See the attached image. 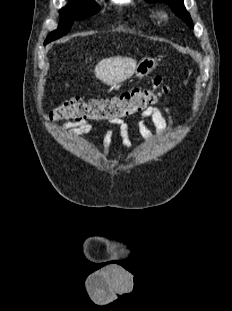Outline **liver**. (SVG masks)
<instances>
[{
  "label": "liver",
  "instance_id": "1",
  "mask_svg": "<svg viewBox=\"0 0 232 311\" xmlns=\"http://www.w3.org/2000/svg\"><path fill=\"white\" fill-rule=\"evenodd\" d=\"M135 69V59L117 56L101 60L95 66L94 73L97 79L112 86L129 79Z\"/></svg>",
  "mask_w": 232,
  "mask_h": 311
}]
</instances>
